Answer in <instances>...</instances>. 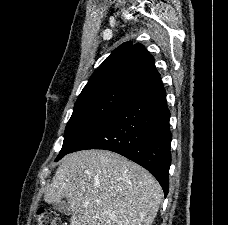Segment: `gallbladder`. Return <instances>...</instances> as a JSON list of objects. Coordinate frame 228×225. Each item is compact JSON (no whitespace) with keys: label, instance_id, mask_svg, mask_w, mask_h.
Listing matches in <instances>:
<instances>
[{"label":"gallbladder","instance_id":"obj_1","mask_svg":"<svg viewBox=\"0 0 228 225\" xmlns=\"http://www.w3.org/2000/svg\"><path fill=\"white\" fill-rule=\"evenodd\" d=\"M53 209L55 211H60V213H65V215H71L69 205L66 201H60V203H53Z\"/></svg>","mask_w":228,"mask_h":225}]
</instances>
